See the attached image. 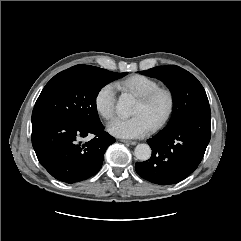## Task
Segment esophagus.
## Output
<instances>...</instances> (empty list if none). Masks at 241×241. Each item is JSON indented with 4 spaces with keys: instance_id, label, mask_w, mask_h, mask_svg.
Masks as SVG:
<instances>
[{
    "instance_id": "esophagus-1",
    "label": "esophagus",
    "mask_w": 241,
    "mask_h": 241,
    "mask_svg": "<svg viewBox=\"0 0 241 241\" xmlns=\"http://www.w3.org/2000/svg\"><path fill=\"white\" fill-rule=\"evenodd\" d=\"M123 143L129 144V145H136L137 142L133 140H121Z\"/></svg>"
}]
</instances>
